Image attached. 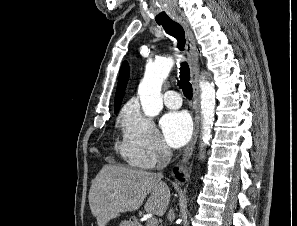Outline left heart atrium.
<instances>
[{
  "label": "left heart atrium",
  "mask_w": 297,
  "mask_h": 226,
  "mask_svg": "<svg viewBox=\"0 0 297 226\" xmlns=\"http://www.w3.org/2000/svg\"><path fill=\"white\" fill-rule=\"evenodd\" d=\"M166 142L174 147L183 146L192 133V123L186 112H170L164 115L160 121Z\"/></svg>",
  "instance_id": "39dd6f15"
}]
</instances>
